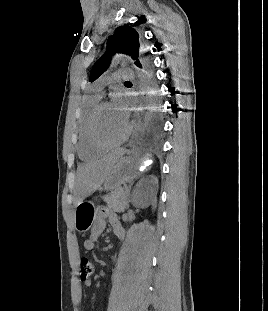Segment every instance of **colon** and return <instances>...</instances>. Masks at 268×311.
<instances>
[{
    "label": "colon",
    "instance_id": "5ec220e1",
    "mask_svg": "<svg viewBox=\"0 0 268 311\" xmlns=\"http://www.w3.org/2000/svg\"><path fill=\"white\" fill-rule=\"evenodd\" d=\"M94 272V265L88 258H82L80 261L81 279L90 278Z\"/></svg>",
    "mask_w": 268,
    "mask_h": 311
}]
</instances>
